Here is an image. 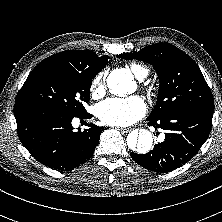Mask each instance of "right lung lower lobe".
I'll list each match as a JSON object with an SVG mask.
<instances>
[{
    "instance_id": "obj_1",
    "label": "right lung lower lobe",
    "mask_w": 222,
    "mask_h": 222,
    "mask_svg": "<svg viewBox=\"0 0 222 222\" xmlns=\"http://www.w3.org/2000/svg\"><path fill=\"white\" fill-rule=\"evenodd\" d=\"M21 143L39 162L55 170L67 171L86 162L98 145L104 127L75 132L72 119H90L91 114L74 116L43 105L14 106Z\"/></svg>"
}]
</instances>
